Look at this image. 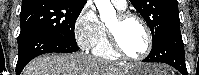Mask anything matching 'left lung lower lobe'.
Listing matches in <instances>:
<instances>
[{
  "label": "left lung lower lobe",
  "instance_id": "left-lung-lower-lobe-1",
  "mask_svg": "<svg viewBox=\"0 0 199 75\" xmlns=\"http://www.w3.org/2000/svg\"><path fill=\"white\" fill-rule=\"evenodd\" d=\"M143 61L166 63L176 68L183 75H188L180 28L173 29L154 45L150 54Z\"/></svg>",
  "mask_w": 199,
  "mask_h": 75
}]
</instances>
